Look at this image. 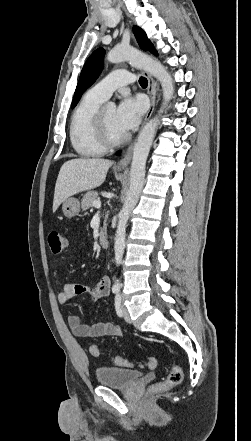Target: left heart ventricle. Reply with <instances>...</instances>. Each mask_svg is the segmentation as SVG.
Instances as JSON below:
<instances>
[{
	"label": "left heart ventricle",
	"instance_id": "left-heart-ventricle-1",
	"mask_svg": "<svg viewBox=\"0 0 251 441\" xmlns=\"http://www.w3.org/2000/svg\"><path fill=\"white\" fill-rule=\"evenodd\" d=\"M104 114V120L107 127V130L109 134L113 138H119L123 136L125 133H123L116 123V109L115 108H104L103 111Z\"/></svg>",
	"mask_w": 251,
	"mask_h": 441
}]
</instances>
